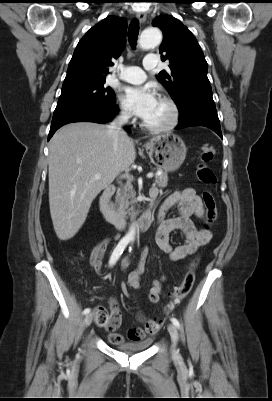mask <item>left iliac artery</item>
Listing matches in <instances>:
<instances>
[{"mask_svg":"<svg viewBox=\"0 0 272 401\" xmlns=\"http://www.w3.org/2000/svg\"><path fill=\"white\" fill-rule=\"evenodd\" d=\"M130 250H131V248H130ZM171 321H172V323H173L177 328L180 327V323H179V321H178L176 318L172 317V318H171Z\"/></svg>","mask_w":272,"mask_h":401,"instance_id":"obj_1","label":"left iliac artery"}]
</instances>
